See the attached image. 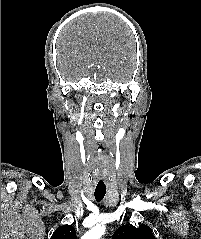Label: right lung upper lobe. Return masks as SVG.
Instances as JSON below:
<instances>
[{
	"label": "right lung upper lobe",
	"mask_w": 201,
	"mask_h": 239,
	"mask_svg": "<svg viewBox=\"0 0 201 239\" xmlns=\"http://www.w3.org/2000/svg\"><path fill=\"white\" fill-rule=\"evenodd\" d=\"M51 239H77V237L73 226L63 225L55 230Z\"/></svg>",
	"instance_id": "cb5924a9"
}]
</instances>
